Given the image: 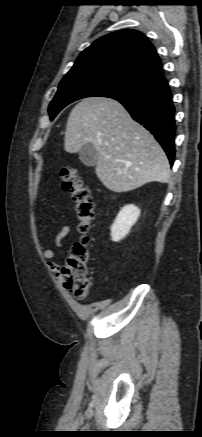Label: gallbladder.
Instances as JSON below:
<instances>
[{"label": "gallbladder", "mask_w": 202, "mask_h": 437, "mask_svg": "<svg viewBox=\"0 0 202 437\" xmlns=\"http://www.w3.org/2000/svg\"><path fill=\"white\" fill-rule=\"evenodd\" d=\"M79 159L86 166L97 164V151L91 143L84 144L79 151Z\"/></svg>", "instance_id": "bac80fb5"}]
</instances>
